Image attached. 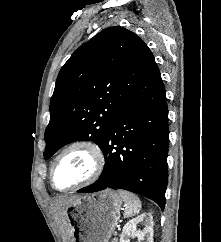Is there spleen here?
<instances>
[{
  "label": "spleen",
  "mask_w": 221,
  "mask_h": 242,
  "mask_svg": "<svg viewBox=\"0 0 221 242\" xmlns=\"http://www.w3.org/2000/svg\"><path fill=\"white\" fill-rule=\"evenodd\" d=\"M118 193L125 202V217H132L140 212L141 201L135 194L124 190H120Z\"/></svg>",
  "instance_id": "1"
}]
</instances>
